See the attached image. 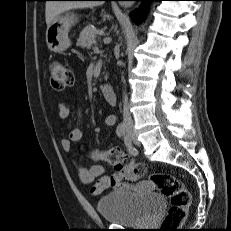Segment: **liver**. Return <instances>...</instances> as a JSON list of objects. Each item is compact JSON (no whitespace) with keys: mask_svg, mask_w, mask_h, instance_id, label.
Instances as JSON below:
<instances>
[{"mask_svg":"<svg viewBox=\"0 0 231 231\" xmlns=\"http://www.w3.org/2000/svg\"><path fill=\"white\" fill-rule=\"evenodd\" d=\"M101 1H48L45 8L47 26L61 13L71 9H84L101 6Z\"/></svg>","mask_w":231,"mask_h":231,"instance_id":"1","label":"liver"}]
</instances>
